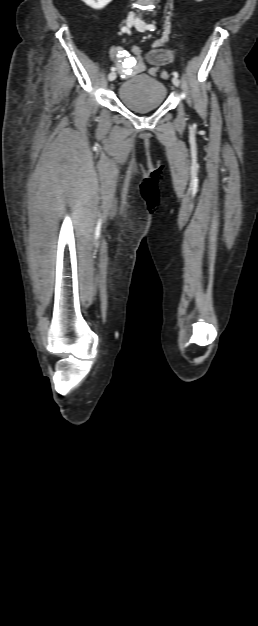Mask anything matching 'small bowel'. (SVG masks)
Masks as SVG:
<instances>
[{"mask_svg": "<svg viewBox=\"0 0 258 626\" xmlns=\"http://www.w3.org/2000/svg\"><path fill=\"white\" fill-rule=\"evenodd\" d=\"M165 44H166V41L164 39L158 41L156 43V49L165 48ZM110 56L121 69H128L126 67L127 63L131 61H134L136 64L138 62L137 59L130 56L126 51L122 50L119 47H112L110 50ZM149 72L151 75L160 74L163 78H167V74L163 71H159L158 68H151Z\"/></svg>", "mask_w": 258, "mask_h": 626, "instance_id": "small-bowel-1", "label": "small bowel"}]
</instances>
